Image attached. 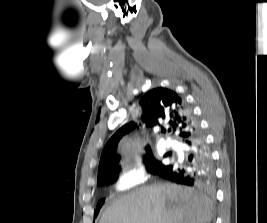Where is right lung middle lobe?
I'll list each match as a JSON object with an SVG mask.
<instances>
[{
	"label": "right lung middle lobe",
	"mask_w": 267,
	"mask_h": 223,
	"mask_svg": "<svg viewBox=\"0 0 267 223\" xmlns=\"http://www.w3.org/2000/svg\"><path fill=\"white\" fill-rule=\"evenodd\" d=\"M167 155V154H166ZM146 167L149 171L153 172L154 174H158L163 168L166 166L161 162L157 161L152 154L146 156ZM120 167H114L108 169L101 178L98 179V184H109L112 181L116 180L119 176ZM105 202V199H102L98 202L97 205V212H94V217L97 216L101 206Z\"/></svg>",
	"instance_id": "1"
}]
</instances>
